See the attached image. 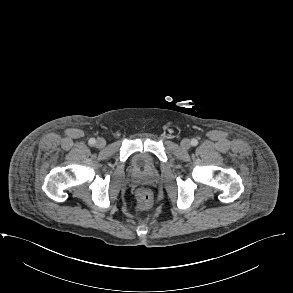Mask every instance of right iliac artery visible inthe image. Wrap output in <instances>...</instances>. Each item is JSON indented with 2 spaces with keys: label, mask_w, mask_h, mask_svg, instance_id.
<instances>
[{
  "label": "right iliac artery",
  "mask_w": 293,
  "mask_h": 293,
  "mask_svg": "<svg viewBox=\"0 0 293 293\" xmlns=\"http://www.w3.org/2000/svg\"><path fill=\"white\" fill-rule=\"evenodd\" d=\"M96 143V140L94 139V138H91L90 140H89V144L90 145H94Z\"/></svg>",
  "instance_id": "82829eb1"
}]
</instances>
